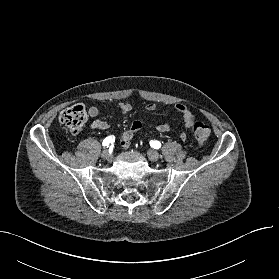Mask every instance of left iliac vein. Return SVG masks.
Instances as JSON below:
<instances>
[{"instance_id": "left-iliac-vein-1", "label": "left iliac vein", "mask_w": 279, "mask_h": 279, "mask_svg": "<svg viewBox=\"0 0 279 279\" xmlns=\"http://www.w3.org/2000/svg\"><path fill=\"white\" fill-rule=\"evenodd\" d=\"M147 155H148V158L153 162L158 161L160 158L159 153L156 151H152V150L148 151Z\"/></svg>"}]
</instances>
